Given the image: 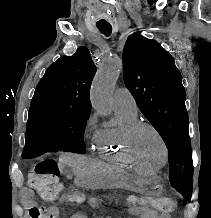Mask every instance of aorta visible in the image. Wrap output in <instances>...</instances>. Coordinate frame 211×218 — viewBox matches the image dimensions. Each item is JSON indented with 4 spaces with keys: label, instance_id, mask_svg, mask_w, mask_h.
Wrapping results in <instances>:
<instances>
[{
    "label": "aorta",
    "instance_id": "1",
    "mask_svg": "<svg viewBox=\"0 0 211 218\" xmlns=\"http://www.w3.org/2000/svg\"><path fill=\"white\" fill-rule=\"evenodd\" d=\"M121 69L122 60L109 57L94 77L91 87V103L93 108L102 116H107L111 112V96Z\"/></svg>",
    "mask_w": 211,
    "mask_h": 218
}]
</instances>
